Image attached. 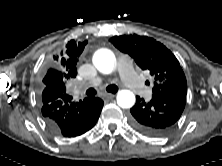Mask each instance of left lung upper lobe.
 <instances>
[{"instance_id": "left-lung-upper-lobe-1", "label": "left lung upper lobe", "mask_w": 222, "mask_h": 166, "mask_svg": "<svg viewBox=\"0 0 222 166\" xmlns=\"http://www.w3.org/2000/svg\"><path fill=\"white\" fill-rule=\"evenodd\" d=\"M110 42L121 52L128 53L142 70L150 71L155 78L153 93H187L186 78L178 60L160 42L136 34L114 36Z\"/></svg>"}]
</instances>
